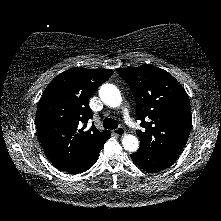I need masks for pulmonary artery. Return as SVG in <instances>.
<instances>
[{
    "label": "pulmonary artery",
    "mask_w": 221,
    "mask_h": 221,
    "mask_svg": "<svg viewBox=\"0 0 221 221\" xmlns=\"http://www.w3.org/2000/svg\"><path fill=\"white\" fill-rule=\"evenodd\" d=\"M123 114H124V119L126 121V123L129 125V126H132L134 127V123L132 122L131 118H130V115H129V111L126 107H124L123 109Z\"/></svg>",
    "instance_id": "obj_1"
}]
</instances>
